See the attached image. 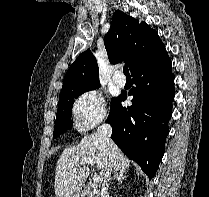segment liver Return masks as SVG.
<instances>
[{"label":"liver","mask_w":209,"mask_h":197,"mask_svg":"<svg viewBox=\"0 0 209 197\" xmlns=\"http://www.w3.org/2000/svg\"><path fill=\"white\" fill-rule=\"evenodd\" d=\"M85 158L94 160L101 179H104L109 164L113 165L115 171L123 172L130 166V160L116 144L113 143L109 148L97 133L85 136L77 146L64 149L57 161L54 183L56 197H71L83 186L90 173L87 165H80Z\"/></svg>","instance_id":"1"}]
</instances>
